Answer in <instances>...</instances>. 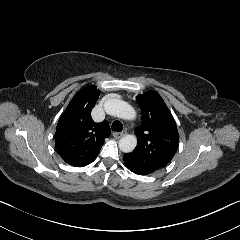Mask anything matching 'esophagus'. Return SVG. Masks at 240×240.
Instances as JSON below:
<instances>
[{
  "label": "esophagus",
  "instance_id": "obj_1",
  "mask_svg": "<svg viewBox=\"0 0 240 240\" xmlns=\"http://www.w3.org/2000/svg\"><path fill=\"white\" fill-rule=\"evenodd\" d=\"M126 134L127 133L125 131H123V132H114L113 133V137L116 138V139H119V138L125 136Z\"/></svg>",
  "mask_w": 240,
  "mask_h": 240
}]
</instances>
